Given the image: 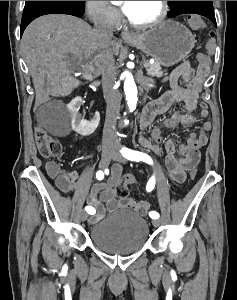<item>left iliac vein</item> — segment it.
<instances>
[{
  "label": "left iliac vein",
  "instance_id": "left-iliac-vein-1",
  "mask_svg": "<svg viewBox=\"0 0 237 300\" xmlns=\"http://www.w3.org/2000/svg\"><path fill=\"white\" fill-rule=\"evenodd\" d=\"M111 158L114 161H117V162H120V163H125L126 162V160L123 158V156L116 149H114V152H113ZM152 223L155 227H158L160 225V221L157 220V219L153 220Z\"/></svg>",
  "mask_w": 237,
  "mask_h": 300
}]
</instances>
